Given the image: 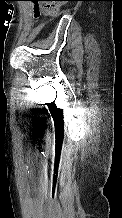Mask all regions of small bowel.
Returning a JSON list of instances; mask_svg holds the SVG:
<instances>
[{"label": "small bowel", "instance_id": "small-bowel-1", "mask_svg": "<svg viewBox=\"0 0 122 218\" xmlns=\"http://www.w3.org/2000/svg\"><path fill=\"white\" fill-rule=\"evenodd\" d=\"M40 7H41V4L39 2H34V10Z\"/></svg>", "mask_w": 122, "mask_h": 218}]
</instances>
